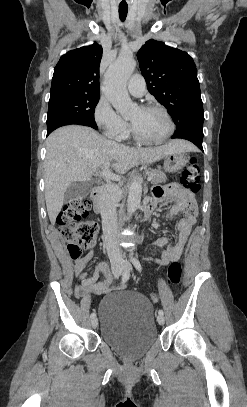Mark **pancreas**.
<instances>
[{
  "mask_svg": "<svg viewBox=\"0 0 247 407\" xmlns=\"http://www.w3.org/2000/svg\"><path fill=\"white\" fill-rule=\"evenodd\" d=\"M147 175L151 176V183L153 184L163 183L167 179L166 174L160 169L149 170L147 171Z\"/></svg>",
  "mask_w": 247,
  "mask_h": 407,
  "instance_id": "1",
  "label": "pancreas"
}]
</instances>
